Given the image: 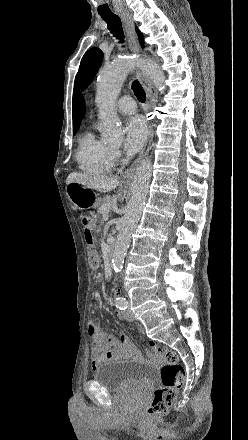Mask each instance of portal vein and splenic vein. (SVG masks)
Wrapping results in <instances>:
<instances>
[{"instance_id": "18ae733b", "label": "portal vein and splenic vein", "mask_w": 248, "mask_h": 440, "mask_svg": "<svg viewBox=\"0 0 248 440\" xmlns=\"http://www.w3.org/2000/svg\"><path fill=\"white\" fill-rule=\"evenodd\" d=\"M103 217L107 220L108 219V214H109V210H110V207H103Z\"/></svg>"}]
</instances>
